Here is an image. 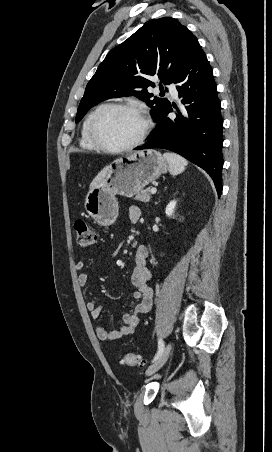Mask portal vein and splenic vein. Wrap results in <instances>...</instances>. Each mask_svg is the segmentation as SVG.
Returning <instances> with one entry per match:
<instances>
[{"instance_id":"obj_1","label":"portal vein and splenic vein","mask_w":272,"mask_h":452,"mask_svg":"<svg viewBox=\"0 0 272 452\" xmlns=\"http://www.w3.org/2000/svg\"><path fill=\"white\" fill-rule=\"evenodd\" d=\"M157 192V189L154 187L151 189V194H155Z\"/></svg>"}]
</instances>
